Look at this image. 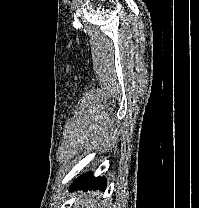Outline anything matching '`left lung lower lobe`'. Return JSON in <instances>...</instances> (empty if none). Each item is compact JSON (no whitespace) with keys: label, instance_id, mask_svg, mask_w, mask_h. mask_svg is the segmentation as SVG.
<instances>
[{"label":"left lung lower lobe","instance_id":"obj_1","mask_svg":"<svg viewBox=\"0 0 199 208\" xmlns=\"http://www.w3.org/2000/svg\"><path fill=\"white\" fill-rule=\"evenodd\" d=\"M106 188V179L103 177L94 178L90 173H85L82 176L78 177L70 187V190H90V189H99L104 190Z\"/></svg>","mask_w":199,"mask_h":208}]
</instances>
